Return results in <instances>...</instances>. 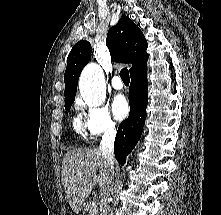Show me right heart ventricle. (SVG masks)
Returning a JSON list of instances; mask_svg holds the SVG:
<instances>
[{
	"label": "right heart ventricle",
	"mask_w": 221,
	"mask_h": 215,
	"mask_svg": "<svg viewBox=\"0 0 221 215\" xmlns=\"http://www.w3.org/2000/svg\"><path fill=\"white\" fill-rule=\"evenodd\" d=\"M74 128L78 133H82L83 128L78 118L74 119Z\"/></svg>",
	"instance_id": "1"
}]
</instances>
